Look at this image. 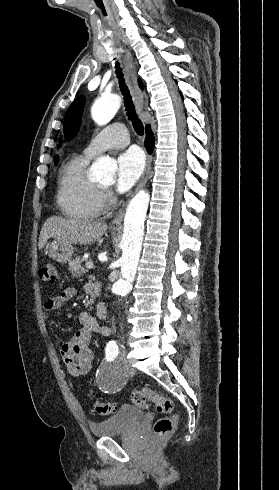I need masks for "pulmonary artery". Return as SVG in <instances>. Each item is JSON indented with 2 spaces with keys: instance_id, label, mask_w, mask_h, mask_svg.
I'll use <instances>...</instances> for the list:
<instances>
[{
  "instance_id": "1",
  "label": "pulmonary artery",
  "mask_w": 279,
  "mask_h": 490,
  "mask_svg": "<svg viewBox=\"0 0 279 490\" xmlns=\"http://www.w3.org/2000/svg\"><path fill=\"white\" fill-rule=\"evenodd\" d=\"M118 124L110 125L97 132L84 149V155L92 158L99 153L110 148H123L129 144V137L126 128L122 125L121 119L117 120Z\"/></svg>"
}]
</instances>
